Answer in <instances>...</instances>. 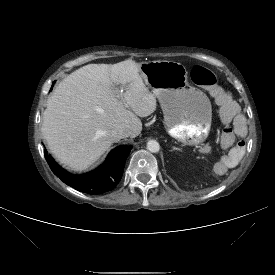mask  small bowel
Instances as JSON below:
<instances>
[{
	"label": "small bowel",
	"mask_w": 275,
	"mask_h": 275,
	"mask_svg": "<svg viewBox=\"0 0 275 275\" xmlns=\"http://www.w3.org/2000/svg\"><path fill=\"white\" fill-rule=\"evenodd\" d=\"M236 101L229 100L228 105L219 111V120L226 127L221 134L222 145L225 148L209 168V175L214 180H221L226 173L235 171L241 163L246 151V120ZM232 126V128L230 127Z\"/></svg>",
	"instance_id": "obj_1"
}]
</instances>
